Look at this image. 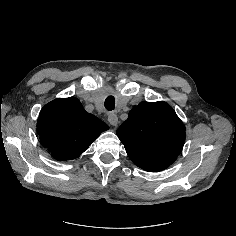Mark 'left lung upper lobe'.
<instances>
[{
  "label": "left lung upper lobe",
  "instance_id": "1",
  "mask_svg": "<svg viewBox=\"0 0 236 236\" xmlns=\"http://www.w3.org/2000/svg\"><path fill=\"white\" fill-rule=\"evenodd\" d=\"M129 158L146 171L169 167L181 153L185 126L166 102H142L117 130Z\"/></svg>",
  "mask_w": 236,
  "mask_h": 236
}]
</instances>
